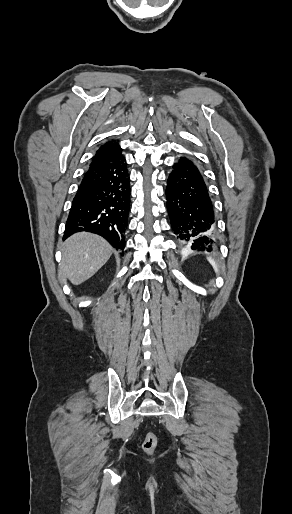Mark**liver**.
<instances>
[{
	"label": "liver",
	"mask_w": 292,
	"mask_h": 514,
	"mask_svg": "<svg viewBox=\"0 0 292 514\" xmlns=\"http://www.w3.org/2000/svg\"><path fill=\"white\" fill-rule=\"evenodd\" d=\"M112 252L110 244L101 236L79 232L63 242L59 272L71 284L79 286L106 264Z\"/></svg>",
	"instance_id": "obj_1"
}]
</instances>
